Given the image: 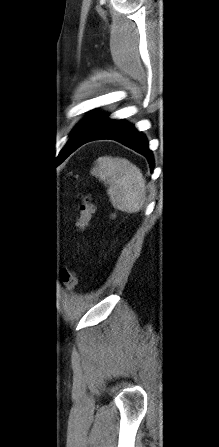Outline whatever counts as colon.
I'll return each instance as SVG.
<instances>
[{
  "label": "colon",
  "mask_w": 219,
  "mask_h": 447,
  "mask_svg": "<svg viewBox=\"0 0 219 447\" xmlns=\"http://www.w3.org/2000/svg\"><path fill=\"white\" fill-rule=\"evenodd\" d=\"M95 207L88 195L81 197V203L79 207V215L77 218L76 226L79 232H85L91 222L94 215ZM60 278L68 291L74 292L77 287V272L73 266H67L61 269Z\"/></svg>",
  "instance_id": "colon-1"
}]
</instances>
